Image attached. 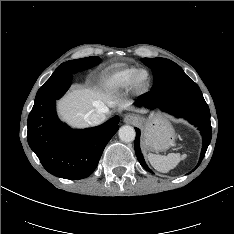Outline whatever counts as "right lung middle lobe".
I'll return each mask as SVG.
<instances>
[{
    "mask_svg": "<svg viewBox=\"0 0 234 234\" xmlns=\"http://www.w3.org/2000/svg\"><path fill=\"white\" fill-rule=\"evenodd\" d=\"M101 62L99 57H86L62 63L55 71L76 73L96 66Z\"/></svg>",
    "mask_w": 234,
    "mask_h": 234,
    "instance_id": "dd1d6c3e",
    "label": "right lung middle lobe"
}]
</instances>
